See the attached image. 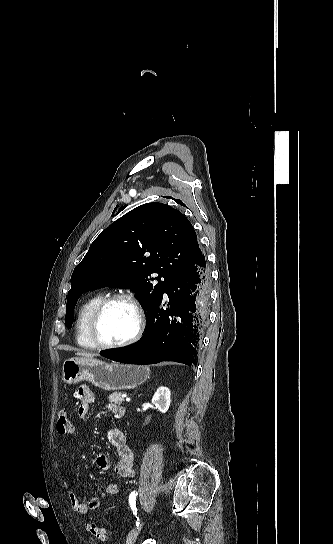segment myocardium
I'll return each instance as SVG.
<instances>
[{
  "mask_svg": "<svg viewBox=\"0 0 333 544\" xmlns=\"http://www.w3.org/2000/svg\"><path fill=\"white\" fill-rule=\"evenodd\" d=\"M116 301H123L128 303L134 310L136 315V328L133 334L124 341L118 343H105L100 340L98 335V324L100 318L105 311V309L112 303ZM146 324L145 313L139 301L130 294L127 293H116L104 297L92 311L89 320H88V336L91 342L95 345L96 348L100 349H118L127 347L135 343L142 335Z\"/></svg>",
  "mask_w": 333,
  "mask_h": 544,
  "instance_id": "myocardium-1",
  "label": "myocardium"
}]
</instances>
